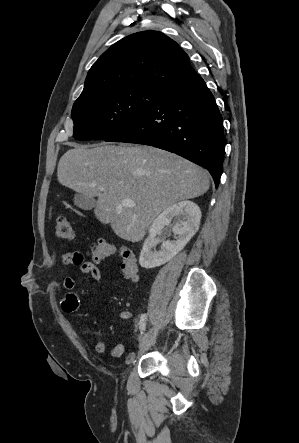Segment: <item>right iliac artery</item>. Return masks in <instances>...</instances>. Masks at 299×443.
I'll list each match as a JSON object with an SVG mask.
<instances>
[{
  "instance_id": "1",
  "label": "right iliac artery",
  "mask_w": 299,
  "mask_h": 443,
  "mask_svg": "<svg viewBox=\"0 0 299 443\" xmlns=\"http://www.w3.org/2000/svg\"><path fill=\"white\" fill-rule=\"evenodd\" d=\"M147 320V315L146 314H142L140 317V330H141V334H143V332L145 331V323Z\"/></svg>"
}]
</instances>
